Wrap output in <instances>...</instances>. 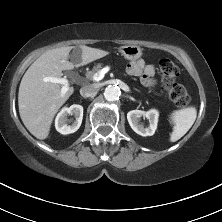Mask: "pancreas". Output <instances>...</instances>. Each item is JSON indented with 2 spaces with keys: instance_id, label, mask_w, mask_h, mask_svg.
<instances>
[{
  "instance_id": "obj_1",
  "label": "pancreas",
  "mask_w": 222,
  "mask_h": 222,
  "mask_svg": "<svg viewBox=\"0 0 222 222\" xmlns=\"http://www.w3.org/2000/svg\"><path fill=\"white\" fill-rule=\"evenodd\" d=\"M102 68V64H98L96 66L93 67V69L91 71H88L86 73V77L88 80H93V76L95 73L99 72Z\"/></svg>"
}]
</instances>
